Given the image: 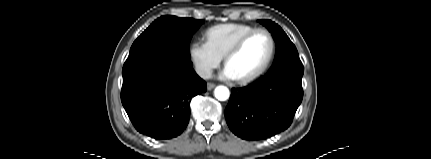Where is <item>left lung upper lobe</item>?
<instances>
[{
	"instance_id": "left-lung-upper-lobe-1",
	"label": "left lung upper lobe",
	"mask_w": 431,
	"mask_h": 159,
	"mask_svg": "<svg viewBox=\"0 0 431 159\" xmlns=\"http://www.w3.org/2000/svg\"><path fill=\"white\" fill-rule=\"evenodd\" d=\"M271 33L276 42V55L270 70L285 67H303L298 51L282 28L271 20H259Z\"/></svg>"
}]
</instances>
